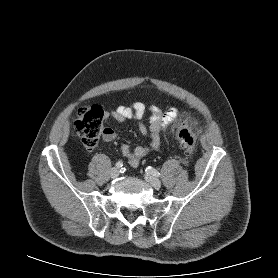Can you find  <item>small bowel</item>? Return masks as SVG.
<instances>
[{
	"instance_id": "small-bowel-1",
	"label": "small bowel",
	"mask_w": 278,
	"mask_h": 278,
	"mask_svg": "<svg viewBox=\"0 0 278 278\" xmlns=\"http://www.w3.org/2000/svg\"><path fill=\"white\" fill-rule=\"evenodd\" d=\"M147 112L146 106L141 102H135L131 106L120 105L117 108L106 113V118L112 117L116 121L125 122L133 120L140 133L143 136H148L150 141L147 145H139L133 150L129 144H123L121 153L129 161L133 167L139 165L140 160L145 157L150 150L158 149L162 143V133L168 126L178 117V110L171 107L166 111L161 110L157 106L149 108L150 118L149 125L143 122V118ZM116 137L114 130L106 127L103 132V139L105 141H112Z\"/></svg>"
}]
</instances>
